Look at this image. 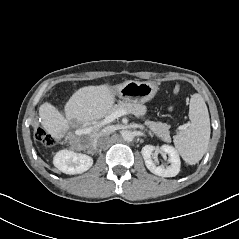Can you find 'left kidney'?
<instances>
[{"label":"left kidney","mask_w":239,"mask_h":239,"mask_svg":"<svg viewBox=\"0 0 239 239\" xmlns=\"http://www.w3.org/2000/svg\"><path fill=\"white\" fill-rule=\"evenodd\" d=\"M159 150L165 154H168L170 165L168 167L157 166L153 159L152 154L154 151ZM145 165L150 172L161 177H174L180 171V158L174 147L169 145H163L159 149L152 145H145L141 150Z\"/></svg>","instance_id":"left-kidney-1"}]
</instances>
